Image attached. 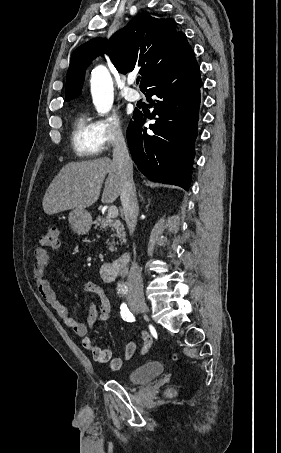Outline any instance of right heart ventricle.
I'll use <instances>...</instances> for the list:
<instances>
[{"mask_svg": "<svg viewBox=\"0 0 281 453\" xmlns=\"http://www.w3.org/2000/svg\"><path fill=\"white\" fill-rule=\"evenodd\" d=\"M72 145L77 156L84 159L95 158L103 150L97 121L84 108L78 111L73 122Z\"/></svg>", "mask_w": 281, "mask_h": 453, "instance_id": "1", "label": "right heart ventricle"}]
</instances>
